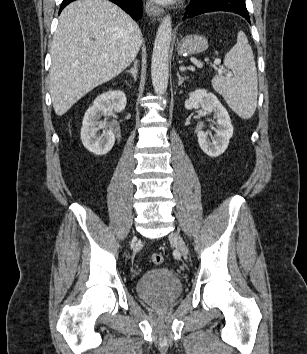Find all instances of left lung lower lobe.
<instances>
[{
  "instance_id": "obj_1",
  "label": "left lung lower lobe",
  "mask_w": 307,
  "mask_h": 354,
  "mask_svg": "<svg viewBox=\"0 0 307 354\" xmlns=\"http://www.w3.org/2000/svg\"><path fill=\"white\" fill-rule=\"evenodd\" d=\"M213 11H228L243 16L249 23L250 18L245 0H191L186 8L188 18ZM186 16L184 17V19Z\"/></svg>"
}]
</instances>
